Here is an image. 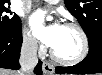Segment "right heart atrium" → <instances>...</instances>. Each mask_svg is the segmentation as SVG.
Masks as SVG:
<instances>
[{
  "label": "right heart atrium",
  "mask_w": 102,
  "mask_h": 75,
  "mask_svg": "<svg viewBox=\"0 0 102 75\" xmlns=\"http://www.w3.org/2000/svg\"><path fill=\"white\" fill-rule=\"evenodd\" d=\"M22 39H23V46L28 52L33 53L41 50L37 41L33 38V36L30 34V32L27 29H24L23 31Z\"/></svg>",
  "instance_id": "1"
}]
</instances>
